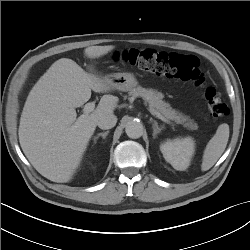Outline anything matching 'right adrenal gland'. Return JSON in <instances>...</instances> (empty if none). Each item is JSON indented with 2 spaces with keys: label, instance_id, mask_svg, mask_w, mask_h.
<instances>
[{
  "label": "right adrenal gland",
  "instance_id": "right-adrenal-gland-1",
  "mask_svg": "<svg viewBox=\"0 0 250 250\" xmlns=\"http://www.w3.org/2000/svg\"><path fill=\"white\" fill-rule=\"evenodd\" d=\"M109 134V131H106L104 133H99L95 138H94V142L96 143V141L99 139V137H102L103 139L106 138V136Z\"/></svg>",
  "mask_w": 250,
  "mask_h": 250
}]
</instances>
